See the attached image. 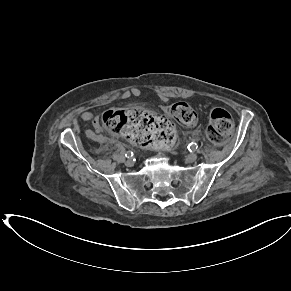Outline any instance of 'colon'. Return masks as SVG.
Returning a JSON list of instances; mask_svg holds the SVG:
<instances>
[{"label":"colon","mask_w":291,"mask_h":291,"mask_svg":"<svg viewBox=\"0 0 291 291\" xmlns=\"http://www.w3.org/2000/svg\"><path fill=\"white\" fill-rule=\"evenodd\" d=\"M169 115L180 125L194 126L195 110L185 102H175L169 107ZM103 127L145 148H164L175 139V128L166 117L144 109L109 110L101 117ZM234 121L231 114L219 107L209 113L207 135L215 144L223 143L231 134Z\"/></svg>","instance_id":"5ec220e1"}]
</instances>
